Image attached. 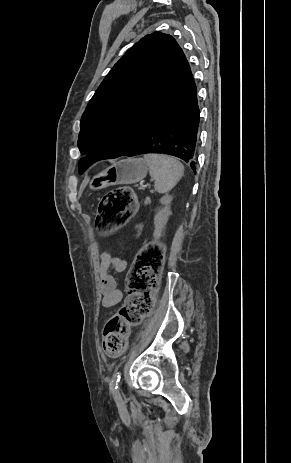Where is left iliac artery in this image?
Returning a JSON list of instances; mask_svg holds the SVG:
<instances>
[{
    "label": "left iliac artery",
    "instance_id": "44dca946",
    "mask_svg": "<svg viewBox=\"0 0 291 463\" xmlns=\"http://www.w3.org/2000/svg\"><path fill=\"white\" fill-rule=\"evenodd\" d=\"M121 379V372L117 371L112 378L111 384H110V389L113 394H115L117 388H118V383Z\"/></svg>",
    "mask_w": 291,
    "mask_h": 463
}]
</instances>
